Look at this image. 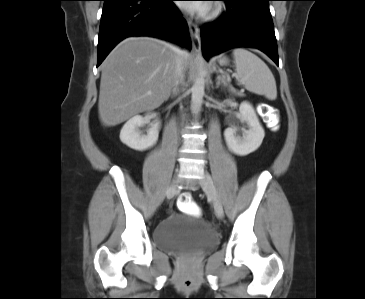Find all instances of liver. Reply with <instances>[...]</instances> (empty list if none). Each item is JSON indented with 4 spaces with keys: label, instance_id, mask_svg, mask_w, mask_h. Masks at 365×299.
<instances>
[{
    "label": "liver",
    "instance_id": "6515ba94",
    "mask_svg": "<svg viewBox=\"0 0 365 299\" xmlns=\"http://www.w3.org/2000/svg\"><path fill=\"white\" fill-rule=\"evenodd\" d=\"M177 59V48L159 39L130 37L120 42L101 65L102 124L116 126L162 105L175 83ZM189 60L190 54L183 52V62Z\"/></svg>",
    "mask_w": 365,
    "mask_h": 299
}]
</instances>
